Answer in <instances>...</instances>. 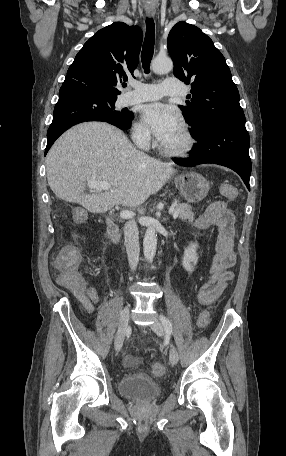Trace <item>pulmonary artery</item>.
<instances>
[{
  "label": "pulmonary artery",
  "instance_id": "e3ab8cb5",
  "mask_svg": "<svg viewBox=\"0 0 286 456\" xmlns=\"http://www.w3.org/2000/svg\"><path fill=\"white\" fill-rule=\"evenodd\" d=\"M131 86L134 89L124 96L125 105L158 100L164 96H175L182 93L180 82L176 77H167L161 84L133 82Z\"/></svg>",
  "mask_w": 286,
  "mask_h": 456
}]
</instances>
